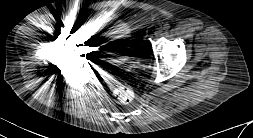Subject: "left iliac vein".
I'll use <instances>...</instances> for the list:
<instances>
[{"label": "left iliac vein", "mask_w": 253, "mask_h": 138, "mask_svg": "<svg viewBox=\"0 0 253 138\" xmlns=\"http://www.w3.org/2000/svg\"><path fill=\"white\" fill-rule=\"evenodd\" d=\"M161 30L160 29H158L156 32H155V36H160L161 35Z\"/></svg>", "instance_id": "4c4485c4"}]
</instances>
